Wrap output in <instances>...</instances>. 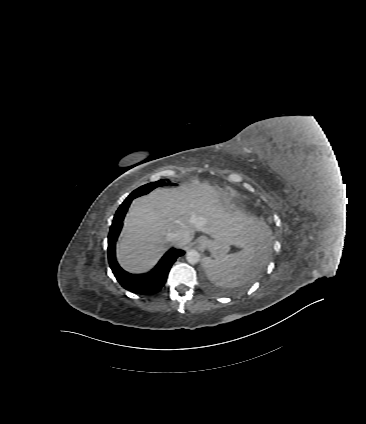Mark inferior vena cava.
<instances>
[{"label": "inferior vena cava", "mask_w": 366, "mask_h": 424, "mask_svg": "<svg viewBox=\"0 0 366 424\" xmlns=\"http://www.w3.org/2000/svg\"><path fill=\"white\" fill-rule=\"evenodd\" d=\"M169 240L172 244L178 246L181 244H186L191 240V236L186 230H178L174 233H171L169 236Z\"/></svg>", "instance_id": "inferior-vena-cava-1"}]
</instances>
